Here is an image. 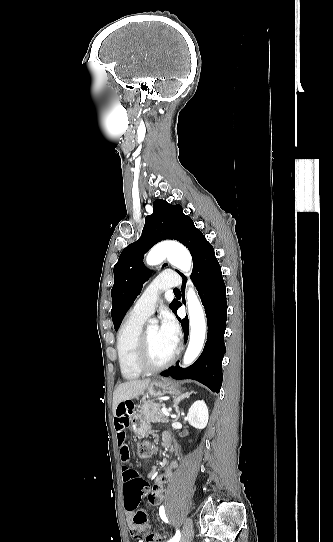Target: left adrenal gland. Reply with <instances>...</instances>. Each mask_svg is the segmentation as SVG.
I'll list each match as a JSON object with an SVG mask.
<instances>
[{"label":"left adrenal gland","mask_w":333,"mask_h":542,"mask_svg":"<svg viewBox=\"0 0 333 542\" xmlns=\"http://www.w3.org/2000/svg\"><path fill=\"white\" fill-rule=\"evenodd\" d=\"M192 394H194V392H190V394H188V392H185V394H179V396H172V398H174V400H172L173 408L177 414V418H175V420H179L181 414L178 406L179 402H181V400H184V398H190Z\"/></svg>","instance_id":"1"}]
</instances>
